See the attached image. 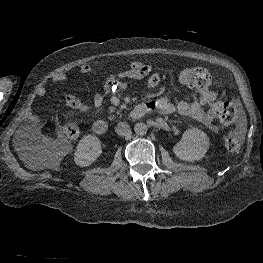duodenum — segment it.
<instances>
[{"mask_svg":"<svg viewBox=\"0 0 263 263\" xmlns=\"http://www.w3.org/2000/svg\"><path fill=\"white\" fill-rule=\"evenodd\" d=\"M149 111H150V107L147 104L142 103L135 106L132 109V111L130 112V116L133 119H139ZM92 129L96 134L104 135L108 132L109 127L106 121L98 119L93 123Z\"/></svg>","mask_w":263,"mask_h":263,"instance_id":"410a0bca","label":"duodenum"}]
</instances>
